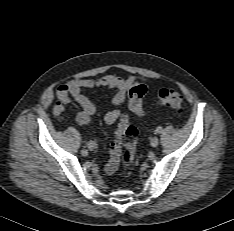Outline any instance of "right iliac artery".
I'll return each instance as SVG.
<instances>
[{
  "label": "right iliac artery",
  "mask_w": 234,
  "mask_h": 231,
  "mask_svg": "<svg viewBox=\"0 0 234 231\" xmlns=\"http://www.w3.org/2000/svg\"><path fill=\"white\" fill-rule=\"evenodd\" d=\"M88 148H89V150H94L95 148H97V144L95 143V142H93V141H89L88 142Z\"/></svg>",
  "instance_id": "1"
}]
</instances>
